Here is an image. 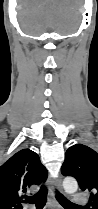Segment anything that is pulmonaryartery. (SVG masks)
<instances>
[{
	"label": "pulmonary artery",
	"mask_w": 98,
	"mask_h": 209,
	"mask_svg": "<svg viewBox=\"0 0 98 209\" xmlns=\"http://www.w3.org/2000/svg\"><path fill=\"white\" fill-rule=\"evenodd\" d=\"M75 205H86L88 199L86 197L80 196L79 194H74Z\"/></svg>",
	"instance_id": "1"
}]
</instances>
